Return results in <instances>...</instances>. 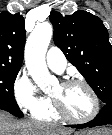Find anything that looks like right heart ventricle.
<instances>
[{
    "label": "right heart ventricle",
    "instance_id": "right-heart-ventricle-1",
    "mask_svg": "<svg viewBox=\"0 0 112 135\" xmlns=\"http://www.w3.org/2000/svg\"><path fill=\"white\" fill-rule=\"evenodd\" d=\"M33 116L43 121H57L59 119L50 101L41 110L35 112Z\"/></svg>",
    "mask_w": 112,
    "mask_h": 135
}]
</instances>
